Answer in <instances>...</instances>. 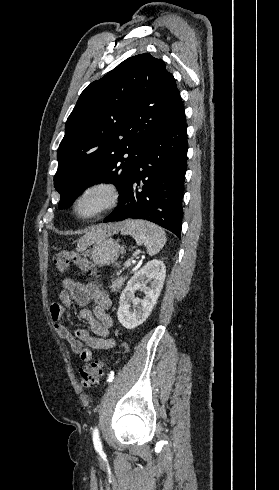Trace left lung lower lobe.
I'll use <instances>...</instances> for the list:
<instances>
[{
    "label": "left lung lower lobe",
    "mask_w": 279,
    "mask_h": 490,
    "mask_svg": "<svg viewBox=\"0 0 279 490\" xmlns=\"http://www.w3.org/2000/svg\"><path fill=\"white\" fill-rule=\"evenodd\" d=\"M187 149L181 101L147 138L128 176L119 205L103 222L144 219L180 238Z\"/></svg>",
    "instance_id": "1"
}]
</instances>
